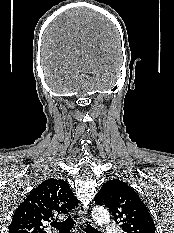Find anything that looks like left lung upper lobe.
<instances>
[{"mask_svg": "<svg viewBox=\"0 0 174 233\" xmlns=\"http://www.w3.org/2000/svg\"><path fill=\"white\" fill-rule=\"evenodd\" d=\"M95 203L108 207L125 233H155L146 205L125 182L113 179L104 183L95 196Z\"/></svg>", "mask_w": 174, "mask_h": 233, "instance_id": "obj_1", "label": "left lung upper lobe"}]
</instances>
